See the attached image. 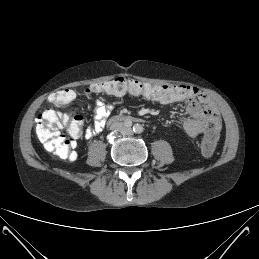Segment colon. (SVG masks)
<instances>
[{
	"instance_id": "obj_1",
	"label": "colon",
	"mask_w": 259,
	"mask_h": 259,
	"mask_svg": "<svg viewBox=\"0 0 259 259\" xmlns=\"http://www.w3.org/2000/svg\"><path fill=\"white\" fill-rule=\"evenodd\" d=\"M94 92L110 95L131 94L146 98H158L162 103L180 102L181 100H196L199 90L196 87L175 85H160L143 82L128 77H116L91 86ZM74 99L70 90L53 92L49 101L55 106H66ZM83 118L80 115L62 114L53 110L45 111L36 118V134L47 151L53 155L72 160L75 140L83 131ZM65 128L69 136L62 135L59 129ZM219 132L215 128L209 129L204 135L201 149L205 156H211L216 148Z\"/></svg>"
}]
</instances>
